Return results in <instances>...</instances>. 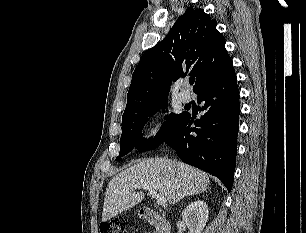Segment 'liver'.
<instances>
[{
  "label": "liver",
  "mask_w": 306,
  "mask_h": 233,
  "mask_svg": "<svg viewBox=\"0 0 306 233\" xmlns=\"http://www.w3.org/2000/svg\"><path fill=\"white\" fill-rule=\"evenodd\" d=\"M209 182L205 172L183 162L167 158L142 160L110 180L105 192L102 221L110 220L143 200V192L131 189L136 184L150 186L170 204H175L185 196L206 191Z\"/></svg>",
  "instance_id": "6515ba94"
}]
</instances>
